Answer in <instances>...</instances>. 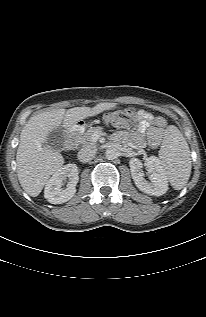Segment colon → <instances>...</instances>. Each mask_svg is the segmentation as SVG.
<instances>
[{
  "instance_id": "colon-1",
  "label": "colon",
  "mask_w": 206,
  "mask_h": 317,
  "mask_svg": "<svg viewBox=\"0 0 206 317\" xmlns=\"http://www.w3.org/2000/svg\"><path fill=\"white\" fill-rule=\"evenodd\" d=\"M136 118V112L131 109H123L109 112L105 115V122L116 128H126L131 126Z\"/></svg>"
}]
</instances>
